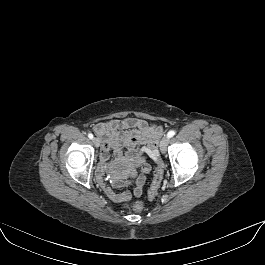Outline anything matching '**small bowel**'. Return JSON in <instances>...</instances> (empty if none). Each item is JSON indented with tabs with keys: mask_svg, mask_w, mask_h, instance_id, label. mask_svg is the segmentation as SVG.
<instances>
[{
	"mask_svg": "<svg viewBox=\"0 0 265 265\" xmlns=\"http://www.w3.org/2000/svg\"><path fill=\"white\" fill-rule=\"evenodd\" d=\"M94 131L103 142L98 174L100 185L107 196L115 203L126 202L131 197L130 192H116L101 180V175L108 168L110 151H113L119 160L129 161L134 167L141 169V173L135 177L133 182V194L137 197L141 196L146 176L151 171L147 160L149 158L154 161L159 160L157 144L162 129L159 126L150 125L143 119L125 117L97 123L94 126ZM111 184L114 187H120L126 182L118 177H113Z\"/></svg>",
	"mask_w": 265,
	"mask_h": 265,
	"instance_id": "1",
	"label": "small bowel"
}]
</instances>
